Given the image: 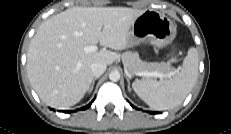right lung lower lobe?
Instances as JSON below:
<instances>
[{
  "label": "right lung lower lobe",
  "instance_id": "right-lung-lower-lobe-1",
  "mask_svg": "<svg viewBox=\"0 0 231 134\" xmlns=\"http://www.w3.org/2000/svg\"><path fill=\"white\" fill-rule=\"evenodd\" d=\"M93 102V101H92ZM92 102L90 103V104H88L87 106H85V107H83V108H80L79 110H85V109H87L91 104H92Z\"/></svg>",
  "mask_w": 231,
  "mask_h": 134
}]
</instances>
